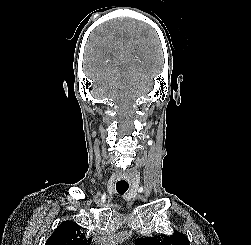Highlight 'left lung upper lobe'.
Here are the masks:
<instances>
[{
    "mask_svg": "<svg viewBox=\"0 0 251 245\" xmlns=\"http://www.w3.org/2000/svg\"><path fill=\"white\" fill-rule=\"evenodd\" d=\"M135 245H189V241L183 233L176 231L171 236L159 235L137 238L135 239Z\"/></svg>",
    "mask_w": 251,
    "mask_h": 245,
    "instance_id": "obj_1",
    "label": "left lung upper lobe"
}]
</instances>
